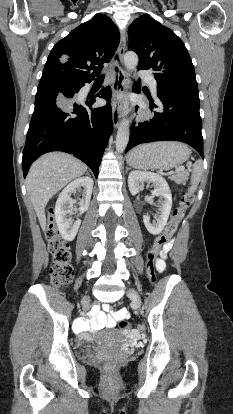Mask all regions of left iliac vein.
<instances>
[{
    "mask_svg": "<svg viewBox=\"0 0 233 414\" xmlns=\"http://www.w3.org/2000/svg\"><path fill=\"white\" fill-rule=\"evenodd\" d=\"M128 296L132 300V302L140 309L141 307V300L138 293L134 289H129Z\"/></svg>",
    "mask_w": 233,
    "mask_h": 414,
    "instance_id": "obj_1",
    "label": "left iliac vein"
}]
</instances>
